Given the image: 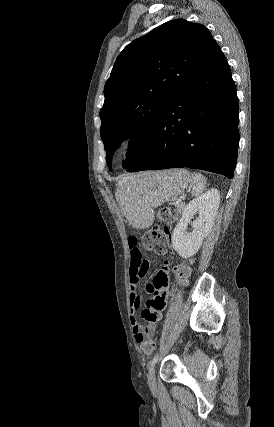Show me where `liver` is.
Masks as SVG:
<instances>
[{"label": "liver", "instance_id": "liver-1", "mask_svg": "<svg viewBox=\"0 0 274 427\" xmlns=\"http://www.w3.org/2000/svg\"><path fill=\"white\" fill-rule=\"evenodd\" d=\"M132 178H134V176H123V178H120V180H118V182L116 184V186H118L117 192H116V200H117V202H119L121 208H122L121 200L123 198L125 186H126V184H131V186H133ZM122 210L125 214L124 208H122Z\"/></svg>", "mask_w": 274, "mask_h": 427}]
</instances>
